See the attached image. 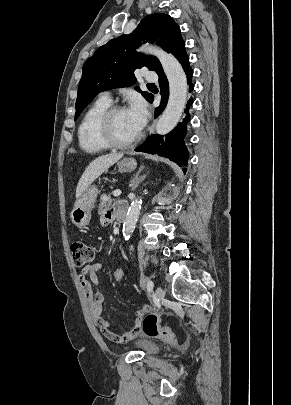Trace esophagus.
Listing matches in <instances>:
<instances>
[{
  "label": "esophagus",
  "mask_w": 291,
  "mask_h": 405,
  "mask_svg": "<svg viewBox=\"0 0 291 405\" xmlns=\"http://www.w3.org/2000/svg\"><path fill=\"white\" fill-rule=\"evenodd\" d=\"M154 125H155V121L152 123V125H151V127H150V129H149L150 133L153 132V130H154Z\"/></svg>",
  "instance_id": "esophagus-1"
}]
</instances>
